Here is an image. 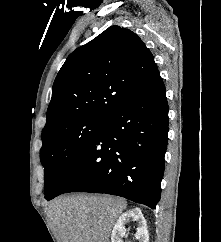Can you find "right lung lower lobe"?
Instances as JSON below:
<instances>
[{
  "label": "right lung lower lobe",
  "mask_w": 221,
  "mask_h": 242,
  "mask_svg": "<svg viewBox=\"0 0 221 242\" xmlns=\"http://www.w3.org/2000/svg\"><path fill=\"white\" fill-rule=\"evenodd\" d=\"M166 89L158 75L103 117L66 167L48 200L67 192L117 195L155 209L168 142Z\"/></svg>",
  "instance_id": "98d812e1"
}]
</instances>
